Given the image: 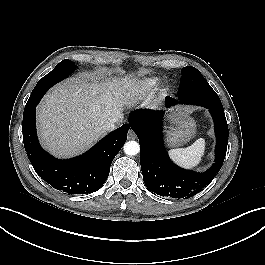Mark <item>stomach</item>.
<instances>
[{"mask_svg":"<svg viewBox=\"0 0 265 265\" xmlns=\"http://www.w3.org/2000/svg\"><path fill=\"white\" fill-rule=\"evenodd\" d=\"M170 127L167 130V143L169 146H179L191 139L195 134V121L177 108L169 116Z\"/></svg>","mask_w":265,"mask_h":265,"instance_id":"stomach-1","label":"stomach"}]
</instances>
